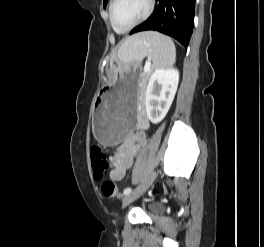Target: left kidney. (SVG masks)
I'll return each mask as SVG.
<instances>
[{"instance_id": "1", "label": "left kidney", "mask_w": 264, "mask_h": 247, "mask_svg": "<svg viewBox=\"0 0 264 247\" xmlns=\"http://www.w3.org/2000/svg\"><path fill=\"white\" fill-rule=\"evenodd\" d=\"M179 82L177 69H155L149 78L145 93V107L148 119L157 124L166 116Z\"/></svg>"}]
</instances>
